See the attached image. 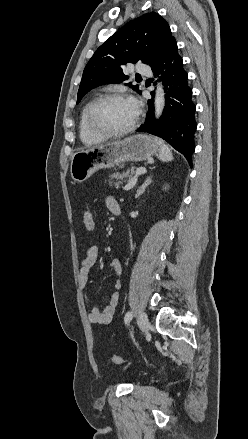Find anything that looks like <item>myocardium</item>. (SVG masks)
I'll return each mask as SVG.
<instances>
[{
	"instance_id": "myocardium-1",
	"label": "myocardium",
	"mask_w": 248,
	"mask_h": 439,
	"mask_svg": "<svg viewBox=\"0 0 248 439\" xmlns=\"http://www.w3.org/2000/svg\"><path fill=\"white\" fill-rule=\"evenodd\" d=\"M110 100H129L128 97L121 93H107L104 95H101L97 99H95L92 104L90 105L88 112H87V124L90 130L98 135L104 136V137H118V136H124L131 132H133L138 124L140 119V110L137 109L136 116L134 121L126 128L122 130H109L104 127H102L96 119V113L101 105H103L105 102Z\"/></svg>"
}]
</instances>
